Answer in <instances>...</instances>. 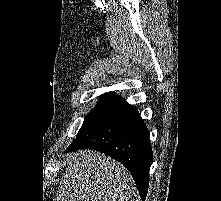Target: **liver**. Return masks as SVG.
<instances>
[{
	"label": "liver",
	"instance_id": "6515ba94",
	"mask_svg": "<svg viewBox=\"0 0 221 201\" xmlns=\"http://www.w3.org/2000/svg\"><path fill=\"white\" fill-rule=\"evenodd\" d=\"M57 201H132L134 183L119 162L93 150L71 153Z\"/></svg>",
	"mask_w": 221,
	"mask_h": 201
}]
</instances>
